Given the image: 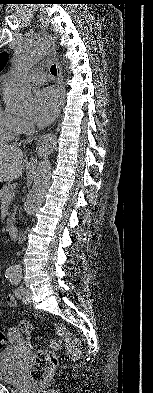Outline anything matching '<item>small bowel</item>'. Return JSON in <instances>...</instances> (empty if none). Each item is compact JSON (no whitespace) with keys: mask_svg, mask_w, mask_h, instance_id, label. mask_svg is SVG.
<instances>
[{"mask_svg":"<svg viewBox=\"0 0 153 393\" xmlns=\"http://www.w3.org/2000/svg\"><path fill=\"white\" fill-rule=\"evenodd\" d=\"M6 304L9 307H15L17 304L16 298L13 295H7L5 297ZM2 314V309L0 308V315ZM13 330V329H12ZM14 331V330H13ZM15 332V331H14Z\"/></svg>","mask_w":153,"mask_h":393,"instance_id":"obj_1","label":"small bowel"}]
</instances>
